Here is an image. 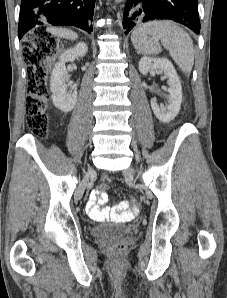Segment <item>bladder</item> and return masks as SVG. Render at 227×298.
I'll list each match as a JSON object with an SVG mask.
<instances>
[{
	"label": "bladder",
	"instance_id": "31cf9c89",
	"mask_svg": "<svg viewBox=\"0 0 227 298\" xmlns=\"http://www.w3.org/2000/svg\"><path fill=\"white\" fill-rule=\"evenodd\" d=\"M130 231L129 225L119 223H103L90 229L91 235L97 238H117L128 234Z\"/></svg>",
	"mask_w": 227,
	"mask_h": 298
}]
</instances>
